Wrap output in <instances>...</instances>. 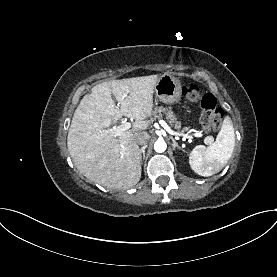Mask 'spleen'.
I'll return each instance as SVG.
<instances>
[{
    "mask_svg": "<svg viewBox=\"0 0 277 277\" xmlns=\"http://www.w3.org/2000/svg\"><path fill=\"white\" fill-rule=\"evenodd\" d=\"M235 146V132L232 120L226 116L216 141L206 147L197 145L189 156V164L195 173L211 176L218 173L231 158Z\"/></svg>",
    "mask_w": 277,
    "mask_h": 277,
    "instance_id": "spleen-1",
    "label": "spleen"
}]
</instances>
